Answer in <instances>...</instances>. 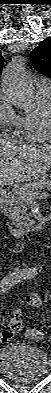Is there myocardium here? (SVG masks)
Instances as JSON below:
<instances>
[{
    "mask_svg": "<svg viewBox=\"0 0 51 393\" xmlns=\"http://www.w3.org/2000/svg\"><path fill=\"white\" fill-rule=\"evenodd\" d=\"M46 124H47V127L50 129L51 128V104L48 107L47 112H46Z\"/></svg>",
    "mask_w": 51,
    "mask_h": 393,
    "instance_id": "obj_1",
    "label": "myocardium"
}]
</instances>
